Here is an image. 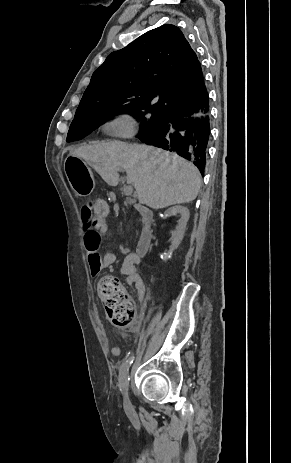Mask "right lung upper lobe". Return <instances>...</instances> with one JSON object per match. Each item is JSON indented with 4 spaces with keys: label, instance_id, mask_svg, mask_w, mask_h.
I'll use <instances>...</instances> for the list:
<instances>
[{
    "label": "right lung upper lobe",
    "instance_id": "cb5924a9",
    "mask_svg": "<svg viewBox=\"0 0 291 463\" xmlns=\"http://www.w3.org/2000/svg\"><path fill=\"white\" fill-rule=\"evenodd\" d=\"M203 80L200 62L184 34L165 24L109 54L93 73L78 109L118 101L138 102L163 113L191 109L207 94ZM157 95L159 101L150 106Z\"/></svg>",
    "mask_w": 291,
    "mask_h": 463
}]
</instances>
